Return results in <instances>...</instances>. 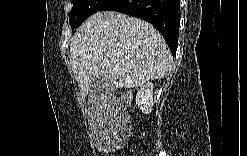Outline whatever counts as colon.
Segmentation results:
<instances>
[{
    "label": "colon",
    "mask_w": 247,
    "mask_h": 156,
    "mask_svg": "<svg viewBox=\"0 0 247 156\" xmlns=\"http://www.w3.org/2000/svg\"><path fill=\"white\" fill-rule=\"evenodd\" d=\"M118 99L123 103V104H128L131 100V93L129 91H123L119 94ZM116 110L114 113V116L116 115Z\"/></svg>",
    "instance_id": "obj_1"
}]
</instances>
